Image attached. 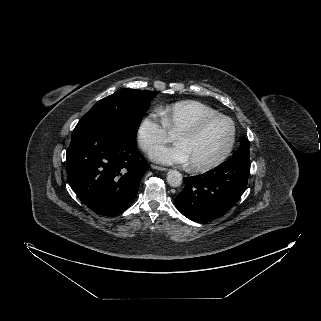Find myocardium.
Masks as SVG:
<instances>
[{
  "label": "myocardium",
  "instance_id": "obj_1",
  "mask_svg": "<svg viewBox=\"0 0 321 321\" xmlns=\"http://www.w3.org/2000/svg\"><path fill=\"white\" fill-rule=\"evenodd\" d=\"M217 119H221L226 121L229 126H230V138L229 141L225 147V149L223 150V152L213 161L208 162V163H203V164H195V163H190V169L196 172H203V171H209L212 170L216 167H218L219 165H221L230 155L234 144H235V140H236V125L235 122L228 116L224 115V114H220V113H216V114H212V115H207V116H203L201 118H199L198 120H196L195 122H193L192 124L183 127L182 129H180L178 131V133L182 134H195L197 132H199L205 125H207L208 123L217 120Z\"/></svg>",
  "mask_w": 321,
  "mask_h": 321
}]
</instances>
